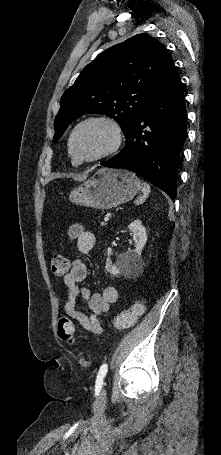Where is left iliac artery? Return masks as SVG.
<instances>
[{
	"label": "left iliac artery",
	"instance_id": "1",
	"mask_svg": "<svg viewBox=\"0 0 221 455\" xmlns=\"http://www.w3.org/2000/svg\"><path fill=\"white\" fill-rule=\"evenodd\" d=\"M107 370H108V365L106 363H104L100 367L98 375H97L96 384H95V388L97 390H100L102 388V385H103L104 378L106 376Z\"/></svg>",
	"mask_w": 221,
	"mask_h": 455
}]
</instances>
